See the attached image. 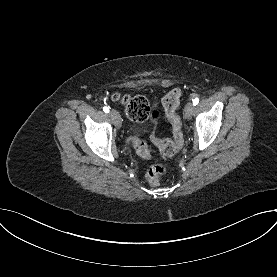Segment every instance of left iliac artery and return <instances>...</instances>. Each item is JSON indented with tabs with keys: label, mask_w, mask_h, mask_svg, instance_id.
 Masks as SVG:
<instances>
[{
	"label": "left iliac artery",
	"mask_w": 277,
	"mask_h": 277,
	"mask_svg": "<svg viewBox=\"0 0 277 277\" xmlns=\"http://www.w3.org/2000/svg\"><path fill=\"white\" fill-rule=\"evenodd\" d=\"M199 103V98H195L193 100V105L196 106Z\"/></svg>",
	"instance_id": "44dca946"
}]
</instances>
